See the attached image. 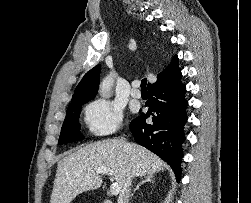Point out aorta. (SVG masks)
<instances>
[{"label": "aorta", "mask_w": 251, "mask_h": 203, "mask_svg": "<svg viewBox=\"0 0 251 203\" xmlns=\"http://www.w3.org/2000/svg\"><path fill=\"white\" fill-rule=\"evenodd\" d=\"M113 84H114L113 74H109L100 83L99 93H100L101 97H103V98L109 97L110 90L113 87Z\"/></svg>", "instance_id": "1"}]
</instances>
